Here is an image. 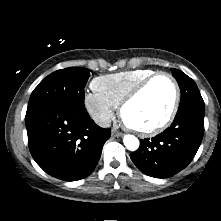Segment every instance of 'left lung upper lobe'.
Here are the masks:
<instances>
[{"label": "left lung upper lobe", "instance_id": "obj_1", "mask_svg": "<svg viewBox=\"0 0 221 221\" xmlns=\"http://www.w3.org/2000/svg\"><path fill=\"white\" fill-rule=\"evenodd\" d=\"M173 76L181 89V101L179 109L193 104H204L199 89L193 79L178 69H171Z\"/></svg>", "mask_w": 221, "mask_h": 221}]
</instances>
